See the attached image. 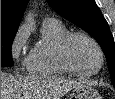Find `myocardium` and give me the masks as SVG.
Wrapping results in <instances>:
<instances>
[{
    "mask_svg": "<svg viewBox=\"0 0 115 99\" xmlns=\"http://www.w3.org/2000/svg\"><path fill=\"white\" fill-rule=\"evenodd\" d=\"M76 37L85 38L86 40L91 42L96 48L99 54L100 63H99V66L95 70L90 71V72L82 71L78 69L76 66H74V64L71 62L69 55H68V46L71 40ZM57 56H58L60 63L69 72L82 76V77H90V76H94L98 74L102 70L104 63H105L104 52L100 44L91 35H89L88 33L82 32V31H73V32H69L68 34H66L59 43L58 50H57Z\"/></svg>",
    "mask_w": 115,
    "mask_h": 99,
    "instance_id": "myocardium-1",
    "label": "myocardium"
}]
</instances>
